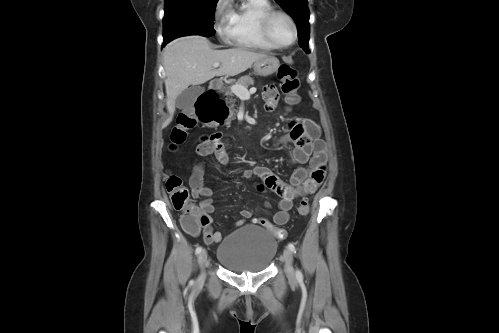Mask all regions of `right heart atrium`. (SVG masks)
I'll list each match as a JSON object with an SVG mask.
<instances>
[{
  "label": "right heart atrium",
  "instance_id": "right-heart-atrium-1",
  "mask_svg": "<svg viewBox=\"0 0 499 333\" xmlns=\"http://www.w3.org/2000/svg\"><path fill=\"white\" fill-rule=\"evenodd\" d=\"M213 25L222 40H229L231 17L227 0H217L213 10Z\"/></svg>",
  "mask_w": 499,
  "mask_h": 333
}]
</instances>
